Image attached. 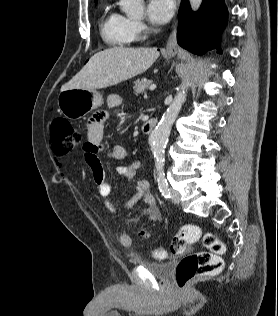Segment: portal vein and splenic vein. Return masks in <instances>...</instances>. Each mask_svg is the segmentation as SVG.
<instances>
[{
  "mask_svg": "<svg viewBox=\"0 0 278 316\" xmlns=\"http://www.w3.org/2000/svg\"><path fill=\"white\" fill-rule=\"evenodd\" d=\"M149 89L152 91V90H155L156 89V85L155 84H151Z\"/></svg>",
  "mask_w": 278,
  "mask_h": 316,
  "instance_id": "1",
  "label": "portal vein and splenic vein"
}]
</instances>
